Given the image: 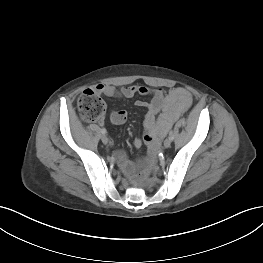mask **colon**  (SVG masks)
<instances>
[{"instance_id": "colon-1", "label": "colon", "mask_w": 263, "mask_h": 263, "mask_svg": "<svg viewBox=\"0 0 263 263\" xmlns=\"http://www.w3.org/2000/svg\"><path fill=\"white\" fill-rule=\"evenodd\" d=\"M77 106L82 118L91 122L99 120L106 109L99 93L93 89H87L80 95Z\"/></svg>"}]
</instances>
